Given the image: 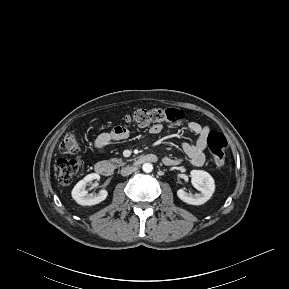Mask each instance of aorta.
I'll return each mask as SVG.
<instances>
[{
	"instance_id": "762f6f07",
	"label": "aorta",
	"mask_w": 289,
	"mask_h": 289,
	"mask_svg": "<svg viewBox=\"0 0 289 289\" xmlns=\"http://www.w3.org/2000/svg\"><path fill=\"white\" fill-rule=\"evenodd\" d=\"M142 170L146 173H150L153 170V165L151 163H144L142 166Z\"/></svg>"
}]
</instances>
